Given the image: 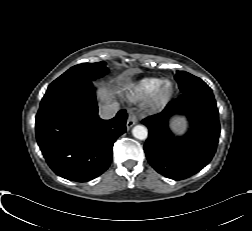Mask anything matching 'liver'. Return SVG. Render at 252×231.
Returning a JSON list of instances; mask_svg holds the SVG:
<instances>
[{
	"label": "liver",
	"mask_w": 252,
	"mask_h": 231,
	"mask_svg": "<svg viewBox=\"0 0 252 231\" xmlns=\"http://www.w3.org/2000/svg\"><path fill=\"white\" fill-rule=\"evenodd\" d=\"M124 79V78H122ZM128 81V78H125ZM133 84L131 82H127L124 84V89L132 88ZM98 96L102 101L109 102L112 98V93L109 92L106 88H100L98 91Z\"/></svg>",
	"instance_id": "1"
}]
</instances>
